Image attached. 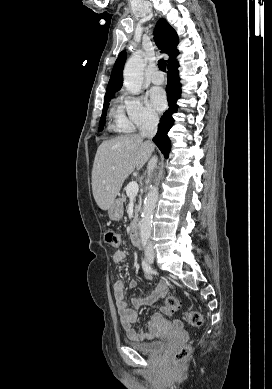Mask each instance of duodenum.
<instances>
[{"instance_id":"410a0bca","label":"duodenum","mask_w":272,"mask_h":389,"mask_svg":"<svg viewBox=\"0 0 272 389\" xmlns=\"http://www.w3.org/2000/svg\"><path fill=\"white\" fill-rule=\"evenodd\" d=\"M129 236H130V241L134 246L140 245L141 242H140L139 228L137 222H135V224L132 226Z\"/></svg>"}]
</instances>
